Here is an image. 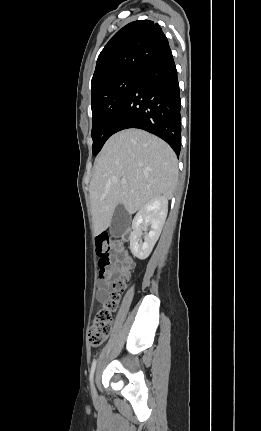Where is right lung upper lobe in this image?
<instances>
[{
  "instance_id": "right-lung-upper-lobe-1",
  "label": "right lung upper lobe",
  "mask_w": 261,
  "mask_h": 431,
  "mask_svg": "<svg viewBox=\"0 0 261 431\" xmlns=\"http://www.w3.org/2000/svg\"><path fill=\"white\" fill-rule=\"evenodd\" d=\"M169 48L168 40L157 23L139 20L127 24L99 54L91 90L120 75L139 73L145 65Z\"/></svg>"
}]
</instances>
